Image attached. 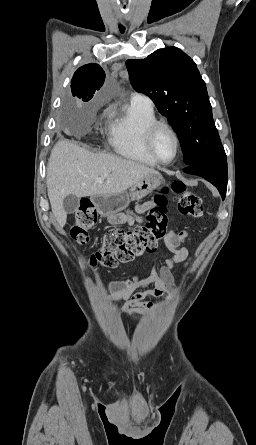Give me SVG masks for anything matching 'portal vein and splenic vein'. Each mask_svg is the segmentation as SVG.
I'll return each instance as SVG.
<instances>
[{
	"instance_id": "1",
	"label": "portal vein and splenic vein",
	"mask_w": 256,
	"mask_h": 445,
	"mask_svg": "<svg viewBox=\"0 0 256 445\" xmlns=\"http://www.w3.org/2000/svg\"><path fill=\"white\" fill-rule=\"evenodd\" d=\"M96 182L102 183L104 180L102 178H96Z\"/></svg>"
}]
</instances>
